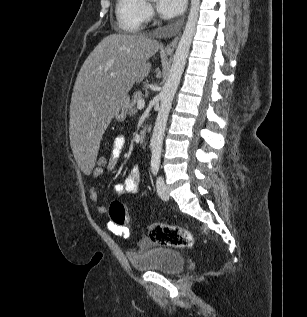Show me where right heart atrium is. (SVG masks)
<instances>
[{"label":"right heart atrium","instance_id":"1","mask_svg":"<svg viewBox=\"0 0 307 317\" xmlns=\"http://www.w3.org/2000/svg\"><path fill=\"white\" fill-rule=\"evenodd\" d=\"M153 16V9L150 4L145 5V19H150Z\"/></svg>","mask_w":307,"mask_h":317}]
</instances>
